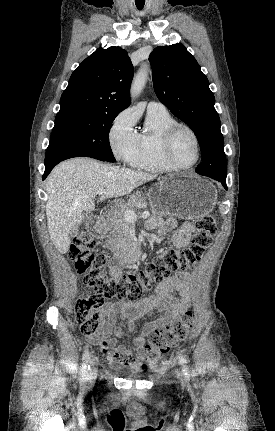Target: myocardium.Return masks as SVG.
Returning <instances> with one entry per match:
<instances>
[{
	"label": "myocardium",
	"instance_id": "1",
	"mask_svg": "<svg viewBox=\"0 0 275 431\" xmlns=\"http://www.w3.org/2000/svg\"><path fill=\"white\" fill-rule=\"evenodd\" d=\"M180 131H187L192 136V138L195 142L196 157H195V160L191 164H188V165L179 164L174 159L173 154H172L174 139ZM162 155H163L165 161L177 170H187V169L194 167L199 162L200 157H201V143H200V139H199L197 133L194 131L193 128H191L190 126H188L186 124L176 123V124L172 125L170 128H168L166 130V132L163 135V138H162Z\"/></svg>",
	"mask_w": 275,
	"mask_h": 431
}]
</instances>
